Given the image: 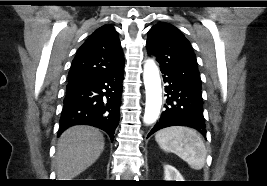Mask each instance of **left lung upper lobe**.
<instances>
[{
  "instance_id": "left-lung-upper-lobe-1",
  "label": "left lung upper lobe",
  "mask_w": 267,
  "mask_h": 186,
  "mask_svg": "<svg viewBox=\"0 0 267 186\" xmlns=\"http://www.w3.org/2000/svg\"><path fill=\"white\" fill-rule=\"evenodd\" d=\"M146 47L148 53L156 57L161 70H169L185 81L201 87L192 46L176 27L165 22L156 24L148 32Z\"/></svg>"
}]
</instances>
